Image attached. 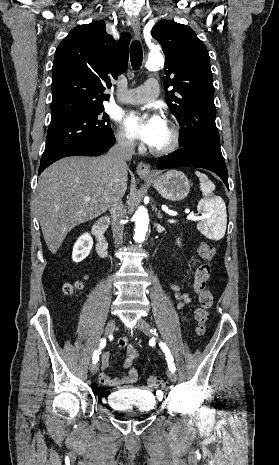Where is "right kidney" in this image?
<instances>
[{
  "label": "right kidney",
  "mask_w": 279,
  "mask_h": 465,
  "mask_svg": "<svg viewBox=\"0 0 279 465\" xmlns=\"http://www.w3.org/2000/svg\"><path fill=\"white\" fill-rule=\"evenodd\" d=\"M93 247V239L89 233L81 235L73 246L72 259L78 263L84 260Z\"/></svg>",
  "instance_id": "right-kidney-1"
}]
</instances>
